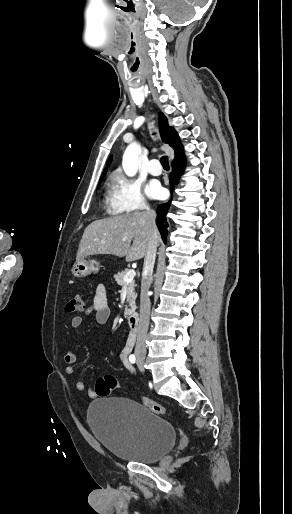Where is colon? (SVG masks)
Returning a JSON list of instances; mask_svg holds the SVG:
<instances>
[{
  "mask_svg": "<svg viewBox=\"0 0 292 514\" xmlns=\"http://www.w3.org/2000/svg\"><path fill=\"white\" fill-rule=\"evenodd\" d=\"M84 303L83 298L80 295L73 296L66 303V312L67 313H76L83 311ZM120 388V385L116 378L112 375H104L97 379L95 384V391L100 396V398L104 399L110 396L111 391ZM142 404L152 413L158 415H165L167 410L165 406L151 400L150 398L141 397Z\"/></svg>",
  "mask_w": 292,
  "mask_h": 514,
  "instance_id": "colon-1",
  "label": "colon"
}]
</instances>
